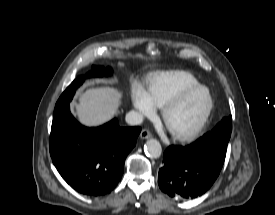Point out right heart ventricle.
<instances>
[{"label":"right heart ventricle","instance_id":"e07e8e85","mask_svg":"<svg viewBox=\"0 0 275 215\" xmlns=\"http://www.w3.org/2000/svg\"><path fill=\"white\" fill-rule=\"evenodd\" d=\"M198 84L199 81L189 72L165 71L149 77L147 92L155 106L162 108L181 90Z\"/></svg>","mask_w":275,"mask_h":215}]
</instances>
